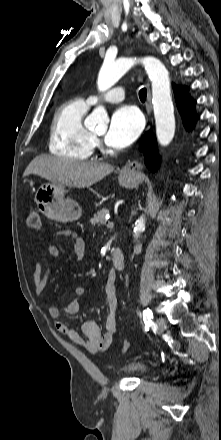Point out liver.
I'll list each match as a JSON object with an SVG mask.
<instances>
[{
  "mask_svg": "<svg viewBox=\"0 0 221 440\" xmlns=\"http://www.w3.org/2000/svg\"><path fill=\"white\" fill-rule=\"evenodd\" d=\"M113 170L114 167L107 163L80 162L41 155L31 161L23 176L35 174L56 184L85 188L102 180Z\"/></svg>",
  "mask_w": 221,
  "mask_h": 440,
  "instance_id": "6515ba94",
  "label": "liver"
}]
</instances>
